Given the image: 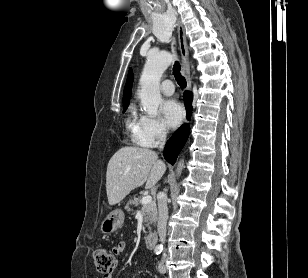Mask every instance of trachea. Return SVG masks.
Here are the masks:
<instances>
[{
	"mask_svg": "<svg viewBox=\"0 0 308 278\" xmlns=\"http://www.w3.org/2000/svg\"><path fill=\"white\" fill-rule=\"evenodd\" d=\"M180 70H181V66H180L179 62L176 61L175 64H174V67H173V74L176 78L178 85L181 88H185L187 83H186L185 78L181 75Z\"/></svg>",
	"mask_w": 308,
	"mask_h": 278,
	"instance_id": "obj_1",
	"label": "trachea"
}]
</instances>
